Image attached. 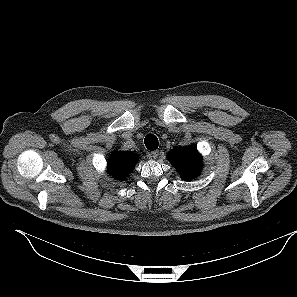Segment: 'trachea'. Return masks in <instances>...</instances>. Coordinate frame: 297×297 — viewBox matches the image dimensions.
Wrapping results in <instances>:
<instances>
[{
	"mask_svg": "<svg viewBox=\"0 0 297 297\" xmlns=\"http://www.w3.org/2000/svg\"><path fill=\"white\" fill-rule=\"evenodd\" d=\"M145 146L148 150H156L158 148V138L153 134H148L144 139Z\"/></svg>",
	"mask_w": 297,
	"mask_h": 297,
	"instance_id": "3493384b",
	"label": "trachea"
}]
</instances>
